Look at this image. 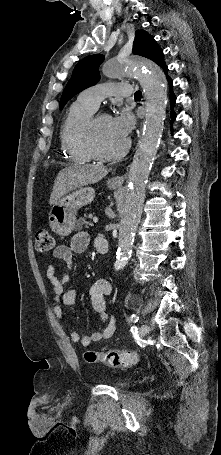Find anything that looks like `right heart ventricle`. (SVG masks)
Wrapping results in <instances>:
<instances>
[{"label":"right heart ventricle","mask_w":221,"mask_h":455,"mask_svg":"<svg viewBox=\"0 0 221 455\" xmlns=\"http://www.w3.org/2000/svg\"><path fill=\"white\" fill-rule=\"evenodd\" d=\"M95 109L80 96L69 107L60 130L61 151L74 164H83L91 159L85 146V128Z\"/></svg>","instance_id":"1"}]
</instances>
